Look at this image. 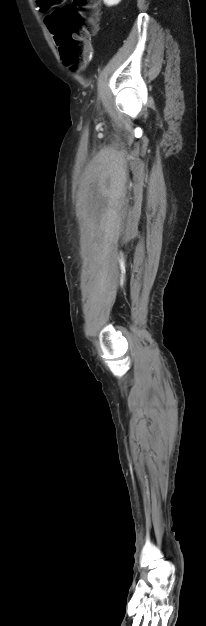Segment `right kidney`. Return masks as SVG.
Instances as JSON below:
<instances>
[{
  "label": "right kidney",
  "mask_w": 206,
  "mask_h": 626,
  "mask_svg": "<svg viewBox=\"0 0 206 626\" xmlns=\"http://www.w3.org/2000/svg\"><path fill=\"white\" fill-rule=\"evenodd\" d=\"M107 6L117 5L121 0H103Z\"/></svg>",
  "instance_id": "right-kidney-1"
}]
</instances>
